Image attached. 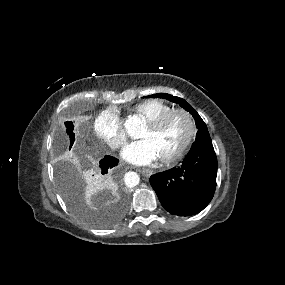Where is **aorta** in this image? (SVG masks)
<instances>
[{
  "mask_svg": "<svg viewBox=\"0 0 285 285\" xmlns=\"http://www.w3.org/2000/svg\"><path fill=\"white\" fill-rule=\"evenodd\" d=\"M140 125V121L138 120H129L128 123V132L130 133V135H134L135 130L138 128V126ZM139 183V175L135 172H128L125 175V184L128 187H135L136 185H138Z\"/></svg>",
  "mask_w": 285,
  "mask_h": 285,
  "instance_id": "762f6f07",
  "label": "aorta"
}]
</instances>
